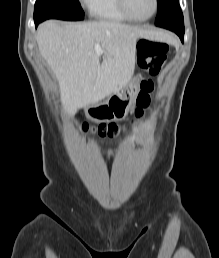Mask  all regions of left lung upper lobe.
I'll return each instance as SVG.
<instances>
[{
  "instance_id": "obj_1",
  "label": "left lung upper lobe",
  "mask_w": 219,
  "mask_h": 258,
  "mask_svg": "<svg viewBox=\"0 0 219 258\" xmlns=\"http://www.w3.org/2000/svg\"><path fill=\"white\" fill-rule=\"evenodd\" d=\"M158 13L155 24L168 21H184L178 0H157Z\"/></svg>"
}]
</instances>
